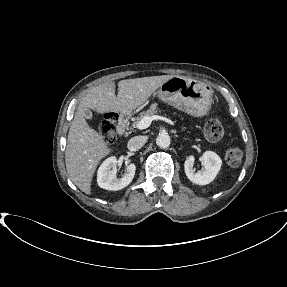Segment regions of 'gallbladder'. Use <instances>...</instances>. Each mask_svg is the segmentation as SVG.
Returning <instances> with one entry per match:
<instances>
[{
  "instance_id": "1",
  "label": "gallbladder",
  "mask_w": 287,
  "mask_h": 287,
  "mask_svg": "<svg viewBox=\"0 0 287 287\" xmlns=\"http://www.w3.org/2000/svg\"><path fill=\"white\" fill-rule=\"evenodd\" d=\"M84 114H85V118H87L89 120H91L93 117V114L89 109H85Z\"/></svg>"
}]
</instances>
